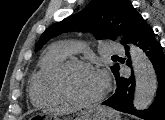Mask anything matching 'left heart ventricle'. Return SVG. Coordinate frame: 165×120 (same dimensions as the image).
I'll return each mask as SVG.
<instances>
[{"instance_id": "left-heart-ventricle-1", "label": "left heart ventricle", "mask_w": 165, "mask_h": 120, "mask_svg": "<svg viewBox=\"0 0 165 120\" xmlns=\"http://www.w3.org/2000/svg\"><path fill=\"white\" fill-rule=\"evenodd\" d=\"M65 89L74 98L91 99L100 94L103 85L97 73L90 69L75 68L65 77Z\"/></svg>"}]
</instances>
